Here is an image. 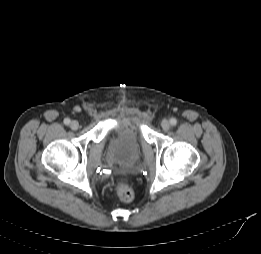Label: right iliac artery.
I'll return each instance as SVG.
<instances>
[{"label":"right iliac artery","mask_w":261,"mask_h":254,"mask_svg":"<svg viewBox=\"0 0 261 254\" xmlns=\"http://www.w3.org/2000/svg\"><path fill=\"white\" fill-rule=\"evenodd\" d=\"M64 124L69 125L70 124V119L69 118H65L64 119Z\"/></svg>","instance_id":"82829eb1"}]
</instances>
